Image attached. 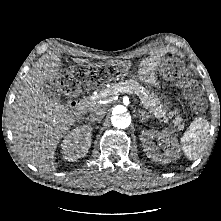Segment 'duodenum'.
<instances>
[{
	"label": "duodenum",
	"mask_w": 221,
	"mask_h": 221,
	"mask_svg": "<svg viewBox=\"0 0 221 221\" xmlns=\"http://www.w3.org/2000/svg\"><path fill=\"white\" fill-rule=\"evenodd\" d=\"M69 106L75 111H80L84 106V98H77L70 100Z\"/></svg>",
	"instance_id": "410a0bca"
}]
</instances>
